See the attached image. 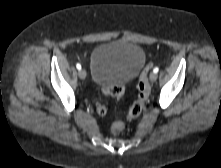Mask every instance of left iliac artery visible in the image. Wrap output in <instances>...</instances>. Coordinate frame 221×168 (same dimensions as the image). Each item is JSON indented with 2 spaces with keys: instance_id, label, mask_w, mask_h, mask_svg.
Returning a JSON list of instances; mask_svg holds the SVG:
<instances>
[{
  "instance_id": "44dca946",
  "label": "left iliac artery",
  "mask_w": 221,
  "mask_h": 168,
  "mask_svg": "<svg viewBox=\"0 0 221 168\" xmlns=\"http://www.w3.org/2000/svg\"><path fill=\"white\" fill-rule=\"evenodd\" d=\"M158 71H159L158 67H155L154 70H153L154 73H157Z\"/></svg>"
}]
</instances>
